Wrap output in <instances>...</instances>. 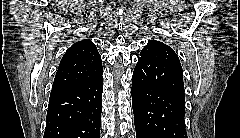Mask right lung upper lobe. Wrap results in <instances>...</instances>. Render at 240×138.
I'll use <instances>...</instances> for the list:
<instances>
[{
    "instance_id": "1",
    "label": "right lung upper lobe",
    "mask_w": 240,
    "mask_h": 138,
    "mask_svg": "<svg viewBox=\"0 0 240 138\" xmlns=\"http://www.w3.org/2000/svg\"><path fill=\"white\" fill-rule=\"evenodd\" d=\"M103 74L101 57L91 40L74 43L59 64L51 95L84 86Z\"/></svg>"
}]
</instances>
